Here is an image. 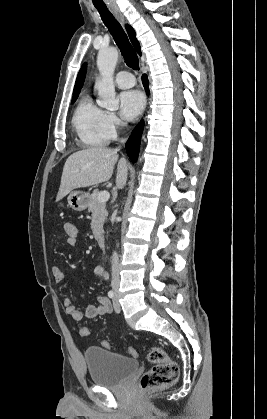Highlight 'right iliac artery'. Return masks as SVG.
I'll return each mask as SVG.
<instances>
[{
	"label": "right iliac artery",
	"instance_id": "obj_1",
	"mask_svg": "<svg viewBox=\"0 0 267 419\" xmlns=\"http://www.w3.org/2000/svg\"><path fill=\"white\" fill-rule=\"evenodd\" d=\"M108 296H109V298H113L114 297V292L112 290H110L108 292Z\"/></svg>",
	"mask_w": 267,
	"mask_h": 419
}]
</instances>
